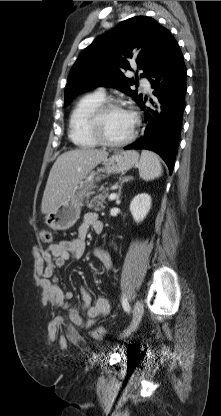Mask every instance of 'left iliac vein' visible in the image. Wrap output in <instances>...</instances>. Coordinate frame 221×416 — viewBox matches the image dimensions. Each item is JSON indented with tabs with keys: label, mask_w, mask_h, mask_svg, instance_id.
I'll list each match as a JSON object with an SVG mask.
<instances>
[{
	"label": "left iliac vein",
	"mask_w": 221,
	"mask_h": 416,
	"mask_svg": "<svg viewBox=\"0 0 221 416\" xmlns=\"http://www.w3.org/2000/svg\"><path fill=\"white\" fill-rule=\"evenodd\" d=\"M132 313H133L132 321L129 327L122 333L121 335L122 337L129 336L132 332L136 330L138 324L140 323V320L144 313V306H143L142 301L137 300L135 302Z\"/></svg>",
	"instance_id": "1"
}]
</instances>
